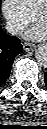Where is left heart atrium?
Masks as SVG:
<instances>
[{
  "label": "left heart atrium",
  "instance_id": "obj_1",
  "mask_svg": "<svg viewBox=\"0 0 47 129\" xmlns=\"http://www.w3.org/2000/svg\"><path fill=\"white\" fill-rule=\"evenodd\" d=\"M25 37L33 40H40L46 36V27L41 23H37L25 32Z\"/></svg>",
  "mask_w": 47,
  "mask_h": 129
}]
</instances>
